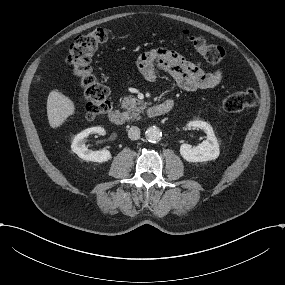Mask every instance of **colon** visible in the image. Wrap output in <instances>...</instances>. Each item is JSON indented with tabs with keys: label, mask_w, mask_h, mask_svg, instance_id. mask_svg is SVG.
<instances>
[{
	"label": "colon",
	"mask_w": 285,
	"mask_h": 285,
	"mask_svg": "<svg viewBox=\"0 0 285 285\" xmlns=\"http://www.w3.org/2000/svg\"><path fill=\"white\" fill-rule=\"evenodd\" d=\"M109 35L108 29L96 28L78 36L71 45L66 59L83 90L87 120L95 119L111 108L109 89L96 78L91 64L95 52L108 40ZM189 40L194 50L209 64L217 65L225 58L223 47L210 44L202 37L192 36ZM257 102L255 90L244 89L226 95L222 99V106L228 112L238 113L253 108Z\"/></svg>",
	"instance_id": "colon-1"
}]
</instances>
